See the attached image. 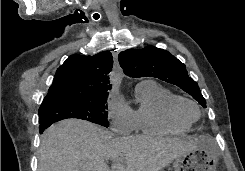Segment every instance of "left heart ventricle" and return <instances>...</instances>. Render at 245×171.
I'll use <instances>...</instances> for the list:
<instances>
[{
	"label": "left heart ventricle",
	"instance_id": "1",
	"mask_svg": "<svg viewBox=\"0 0 245 171\" xmlns=\"http://www.w3.org/2000/svg\"><path fill=\"white\" fill-rule=\"evenodd\" d=\"M181 111L183 115L189 120H194L197 118L198 114L196 109L189 104H183L181 107Z\"/></svg>",
	"mask_w": 245,
	"mask_h": 171
}]
</instances>
